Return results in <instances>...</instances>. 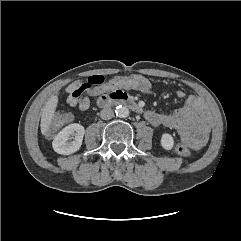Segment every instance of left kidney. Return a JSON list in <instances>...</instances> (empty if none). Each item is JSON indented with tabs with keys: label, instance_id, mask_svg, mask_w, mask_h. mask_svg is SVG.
Instances as JSON below:
<instances>
[{
	"label": "left kidney",
	"instance_id": "left-kidney-1",
	"mask_svg": "<svg viewBox=\"0 0 241 241\" xmlns=\"http://www.w3.org/2000/svg\"><path fill=\"white\" fill-rule=\"evenodd\" d=\"M173 145H174L173 137L168 133H164L161 137V146L165 150H171L173 148Z\"/></svg>",
	"mask_w": 241,
	"mask_h": 241
}]
</instances>
